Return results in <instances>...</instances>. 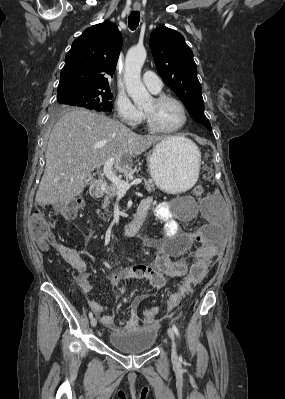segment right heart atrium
<instances>
[{
  "mask_svg": "<svg viewBox=\"0 0 285 399\" xmlns=\"http://www.w3.org/2000/svg\"><path fill=\"white\" fill-rule=\"evenodd\" d=\"M117 117L130 126H136L142 120V112L125 94H119L115 102Z\"/></svg>",
  "mask_w": 285,
  "mask_h": 399,
  "instance_id": "right-heart-atrium-1",
  "label": "right heart atrium"
}]
</instances>
